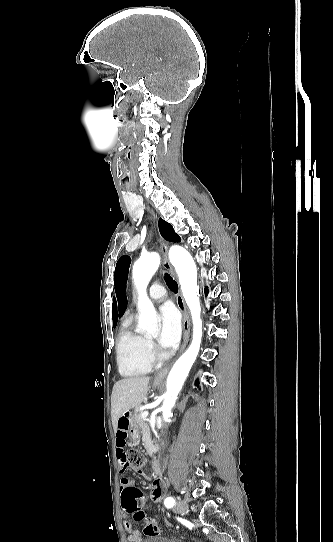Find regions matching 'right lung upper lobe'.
<instances>
[{
  "label": "right lung upper lobe",
  "instance_id": "right-lung-upper-lobe-1",
  "mask_svg": "<svg viewBox=\"0 0 333 542\" xmlns=\"http://www.w3.org/2000/svg\"><path fill=\"white\" fill-rule=\"evenodd\" d=\"M112 317H113V326H116V324H117V306H116L115 299H113Z\"/></svg>",
  "mask_w": 333,
  "mask_h": 542
}]
</instances>
